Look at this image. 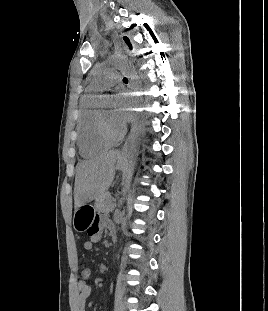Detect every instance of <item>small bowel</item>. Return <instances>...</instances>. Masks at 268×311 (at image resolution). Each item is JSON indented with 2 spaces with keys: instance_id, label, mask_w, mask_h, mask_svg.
Instances as JSON below:
<instances>
[{
  "instance_id": "c3829d8e",
  "label": "small bowel",
  "mask_w": 268,
  "mask_h": 311,
  "mask_svg": "<svg viewBox=\"0 0 268 311\" xmlns=\"http://www.w3.org/2000/svg\"><path fill=\"white\" fill-rule=\"evenodd\" d=\"M104 229L113 230V223L106 217H97L93 225L88 229L90 238L84 242L85 250H92L95 244L100 242ZM77 288L79 295L76 300V309L77 311H86L87 299L92 295V288L85 279L78 281Z\"/></svg>"
}]
</instances>
